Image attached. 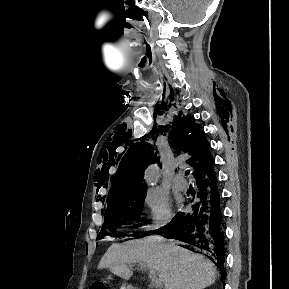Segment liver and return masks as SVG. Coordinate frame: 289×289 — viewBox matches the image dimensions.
Returning a JSON list of instances; mask_svg holds the SVG:
<instances>
[{
  "label": "liver",
  "instance_id": "liver-1",
  "mask_svg": "<svg viewBox=\"0 0 289 289\" xmlns=\"http://www.w3.org/2000/svg\"><path fill=\"white\" fill-rule=\"evenodd\" d=\"M135 262L154 270L164 289H204L216 281V269L210 260L157 237L112 244L98 267L129 279V265Z\"/></svg>",
  "mask_w": 289,
  "mask_h": 289
}]
</instances>
